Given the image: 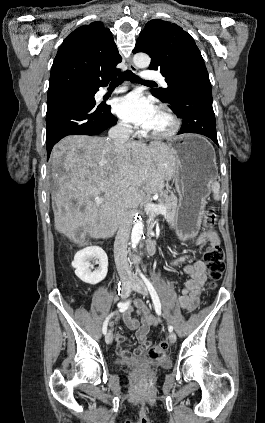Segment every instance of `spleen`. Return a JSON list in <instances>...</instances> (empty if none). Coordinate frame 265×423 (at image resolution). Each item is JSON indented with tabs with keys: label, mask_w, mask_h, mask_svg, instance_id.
I'll list each match as a JSON object with an SVG mask.
<instances>
[{
	"label": "spleen",
	"mask_w": 265,
	"mask_h": 423,
	"mask_svg": "<svg viewBox=\"0 0 265 423\" xmlns=\"http://www.w3.org/2000/svg\"><path fill=\"white\" fill-rule=\"evenodd\" d=\"M213 197L216 201L220 199V184L218 182L212 183Z\"/></svg>",
	"instance_id": "obj_1"
}]
</instances>
